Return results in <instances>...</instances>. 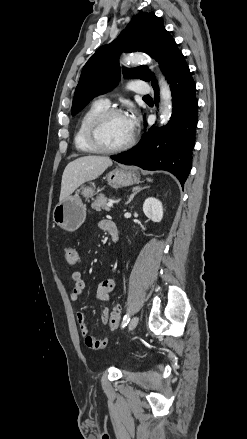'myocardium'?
Wrapping results in <instances>:
<instances>
[{"instance_id": "obj_1", "label": "myocardium", "mask_w": 247, "mask_h": 439, "mask_svg": "<svg viewBox=\"0 0 247 439\" xmlns=\"http://www.w3.org/2000/svg\"><path fill=\"white\" fill-rule=\"evenodd\" d=\"M114 116H125V113L120 109H106L96 115L88 126V141L98 152L109 154L118 153L129 149L135 143V135L133 133L126 143L118 147H108L103 143L101 138L102 127L109 118Z\"/></svg>"}]
</instances>
